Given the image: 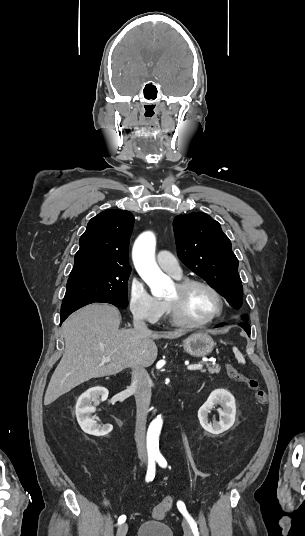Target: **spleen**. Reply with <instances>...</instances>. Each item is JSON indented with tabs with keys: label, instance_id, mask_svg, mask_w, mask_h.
<instances>
[{
	"label": "spleen",
	"instance_id": "1",
	"mask_svg": "<svg viewBox=\"0 0 305 536\" xmlns=\"http://www.w3.org/2000/svg\"><path fill=\"white\" fill-rule=\"evenodd\" d=\"M233 354H235L238 364H246L245 358L242 356L241 352H239L238 348H233Z\"/></svg>",
	"mask_w": 305,
	"mask_h": 536
}]
</instances>
